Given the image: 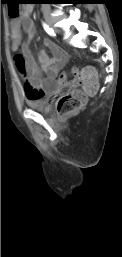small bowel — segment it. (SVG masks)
<instances>
[{
  "label": "small bowel",
  "mask_w": 122,
  "mask_h": 257,
  "mask_svg": "<svg viewBox=\"0 0 122 257\" xmlns=\"http://www.w3.org/2000/svg\"><path fill=\"white\" fill-rule=\"evenodd\" d=\"M33 7L27 5L22 13L10 22V35L12 39L11 49L21 52H13L14 64L18 73L25 80L24 94L27 100L42 99L47 94L54 92L59 84H55L57 74L67 61L66 52L50 39L44 40V46L49 50L38 53V62L30 52V40L36 36L34 22L30 18ZM23 32L28 39L23 41Z\"/></svg>",
  "instance_id": "c3829d8e"
}]
</instances>
